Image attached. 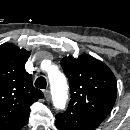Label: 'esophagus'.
<instances>
[{
    "label": "esophagus",
    "mask_w": 130,
    "mask_h": 130,
    "mask_svg": "<svg viewBox=\"0 0 130 130\" xmlns=\"http://www.w3.org/2000/svg\"><path fill=\"white\" fill-rule=\"evenodd\" d=\"M44 96H45V99L47 101H49L51 99V94H50V90H44Z\"/></svg>",
    "instance_id": "esophagus-1"
}]
</instances>
